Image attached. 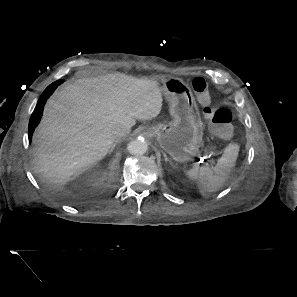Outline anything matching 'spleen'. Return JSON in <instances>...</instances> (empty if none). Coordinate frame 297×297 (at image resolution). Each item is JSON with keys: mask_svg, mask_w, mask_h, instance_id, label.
I'll list each match as a JSON object with an SVG mask.
<instances>
[{"mask_svg": "<svg viewBox=\"0 0 297 297\" xmlns=\"http://www.w3.org/2000/svg\"><path fill=\"white\" fill-rule=\"evenodd\" d=\"M239 146L230 144L226 147L223 155L217 160L215 166H203L186 171L189 179L196 181L200 193L205 196L219 190L228 180L235 166Z\"/></svg>", "mask_w": 297, "mask_h": 297, "instance_id": "spleen-1", "label": "spleen"}]
</instances>
